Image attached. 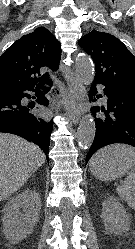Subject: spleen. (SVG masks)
<instances>
[{"label": "spleen", "instance_id": "1", "mask_svg": "<svg viewBox=\"0 0 135 249\" xmlns=\"http://www.w3.org/2000/svg\"><path fill=\"white\" fill-rule=\"evenodd\" d=\"M110 156L125 159L131 165V171L124 181V184L117 187V193L132 209L135 210V148L123 144L108 146L94 155L90 161V165L101 158Z\"/></svg>", "mask_w": 135, "mask_h": 249}]
</instances>
